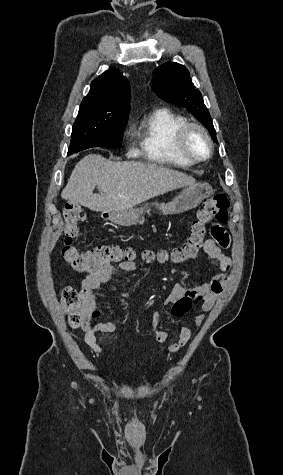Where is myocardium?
I'll list each match as a JSON object with an SVG mask.
<instances>
[{
	"mask_svg": "<svg viewBox=\"0 0 283 475\" xmlns=\"http://www.w3.org/2000/svg\"><path fill=\"white\" fill-rule=\"evenodd\" d=\"M196 130L198 131L207 141L208 144V152L203 157L191 156L186 152H183L181 156L175 157L170 155L166 151V146H162V157L166 162H204L211 158L214 152V143L207 132V130L199 123L196 122H186L181 127L177 129L174 135L171 137L172 145L176 146L179 149H182L186 143L187 136L190 131Z\"/></svg>",
	"mask_w": 283,
	"mask_h": 475,
	"instance_id": "myocardium-1",
	"label": "myocardium"
}]
</instances>
